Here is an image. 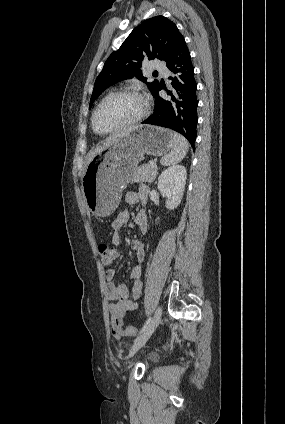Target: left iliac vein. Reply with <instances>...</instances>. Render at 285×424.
Here are the masks:
<instances>
[{
  "label": "left iliac vein",
  "instance_id": "1",
  "mask_svg": "<svg viewBox=\"0 0 285 424\" xmlns=\"http://www.w3.org/2000/svg\"><path fill=\"white\" fill-rule=\"evenodd\" d=\"M162 316V309L158 307L155 311L154 317L149 325V327L144 331V333L134 342L129 356H133L151 337L155 329L158 327Z\"/></svg>",
  "mask_w": 285,
  "mask_h": 424
}]
</instances>
